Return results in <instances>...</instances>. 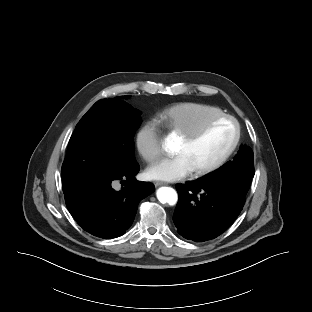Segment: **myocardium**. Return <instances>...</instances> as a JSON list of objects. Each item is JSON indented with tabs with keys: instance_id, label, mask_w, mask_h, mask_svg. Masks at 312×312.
I'll return each instance as SVG.
<instances>
[{
	"instance_id": "obj_1",
	"label": "myocardium",
	"mask_w": 312,
	"mask_h": 312,
	"mask_svg": "<svg viewBox=\"0 0 312 312\" xmlns=\"http://www.w3.org/2000/svg\"><path fill=\"white\" fill-rule=\"evenodd\" d=\"M220 120H230L234 123V125L236 127L235 138H234L232 144L230 145V147L227 149V151L219 159H217L215 162L211 163L208 166L194 170V173L198 176L205 175V174H208V173L215 171L216 169L220 168L231 157V155L236 150V148L240 142V139H241V132H242L241 131V125H240L239 121L234 116H232L230 114L222 113V114H219V115H216L214 117L207 119L196 130L182 135L183 138L187 142H195L199 138H201L214 123H216Z\"/></svg>"
}]
</instances>
